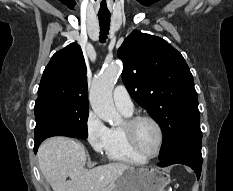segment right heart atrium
<instances>
[{
    "instance_id": "right-heart-atrium-1",
    "label": "right heart atrium",
    "mask_w": 233,
    "mask_h": 191,
    "mask_svg": "<svg viewBox=\"0 0 233 191\" xmlns=\"http://www.w3.org/2000/svg\"><path fill=\"white\" fill-rule=\"evenodd\" d=\"M86 138L90 146L97 152L106 151L109 144V128L93 112H90L85 124Z\"/></svg>"
}]
</instances>
